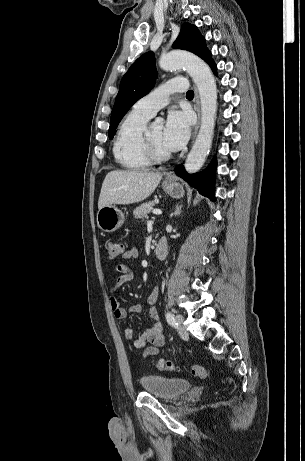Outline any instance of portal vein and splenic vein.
<instances>
[{"mask_svg":"<svg viewBox=\"0 0 305 461\" xmlns=\"http://www.w3.org/2000/svg\"><path fill=\"white\" fill-rule=\"evenodd\" d=\"M152 213L155 214V215H161V214H162V211L159 210V209H154V210L152 211Z\"/></svg>","mask_w":305,"mask_h":461,"instance_id":"18ae733b","label":"portal vein and splenic vein"}]
</instances>
